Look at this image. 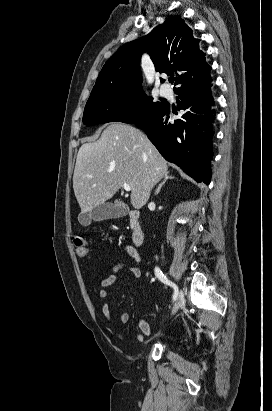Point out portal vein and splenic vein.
Returning a JSON list of instances; mask_svg holds the SVG:
<instances>
[{
  "label": "portal vein and splenic vein",
  "instance_id": "1",
  "mask_svg": "<svg viewBox=\"0 0 272 411\" xmlns=\"http://www.w3.org/2000/svg\"><path fill=\"white\" fill-rule=\"evenodd\" d=\"M123 188L126 191H131L132 190L131 186L129 184H126V183L123 184Z\"/></svg>",
  "mask_w": 272,
  "mask_h": 411
}]
</instances>
